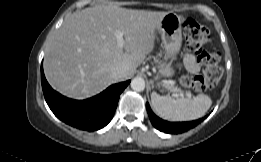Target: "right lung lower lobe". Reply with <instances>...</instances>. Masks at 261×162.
Instances as JSON below:
<instances>
[{
	"label": "right lung lower lobe",
	"mask_w": 261,
	"mask_h": 162,
	"mask_svg": "<svg viewBox=\"0 0 261 162\" xmlns=\"http://www.w3.org/2000/svg\"><path fill=\"white\" fill-rule=\"evenodd\" d=\"M41 83L45 100L57 118L75 128L91 132L103 128L111 121L120 94L130 80L114 84L102 93L80 101L69 99L54 91L44 76L42 66Z\"/></svg>",
	"instance_id": "1"
}]
</instances>
